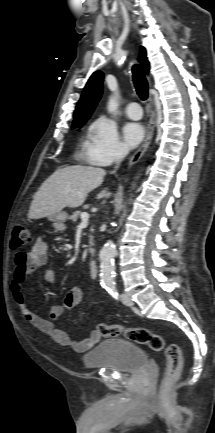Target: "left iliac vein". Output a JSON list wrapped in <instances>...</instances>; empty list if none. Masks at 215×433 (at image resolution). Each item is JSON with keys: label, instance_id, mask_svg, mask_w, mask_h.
Here are the masks:
<instances>
[{"label": "left iliac vein", "instance_id": "1", "mask_svg": "<svg viewBox=\"0 0 215 433\" xmlns=\"http://www.w3.org/2000/svg\"><path fill=\"white\" fill-rule=\"evenodd\" d=\"M121 301L123 304H125L126 306H132L134 305L133 301L131 300L130 296L127 294H121L120 296Z\"/></svg>", "mask_w": 215, "mask_h": 433}]
</instances>
